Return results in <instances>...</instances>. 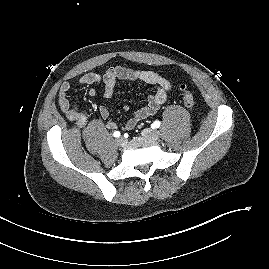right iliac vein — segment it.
<instances>
[{"instance_id":"right-iliac-vein-1","label":"right iliac vein","mask_w":269,"mask_h":269,"mask_svg":"<svg viewBox=\"0 0 269 269\" xmlns=\"http://www.w3.org/2000/svg\"><path fill=\"white\" fill-rule=\"evenodd\" d=\"M116 143H117V145L124 147V146H126L127 141L123 137H120L116 140Z\"/></svg>"}]
</instances>
